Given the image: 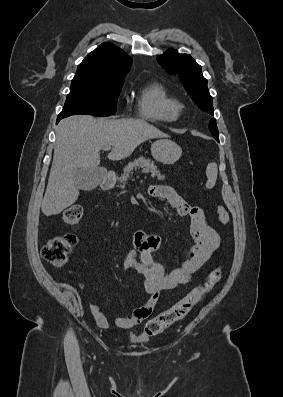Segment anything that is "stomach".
<instances>
[{
	"label": "stomach",
	"instance_id": "obj_1",
	"mask_svg": "<svg viewBox=\"0 0 283 397\" xmlns=\"http://www.w3.org/2000/svg\"><path fill=\"white\" fill-rule=\"evenodd\" d=\"M151 154L155 160L162 164H174L182 155L181 147L169 139H160L151 146Z\"/></svg>",
	"mask_w": 283,
	"mask_h": 397
}]
</instances>
